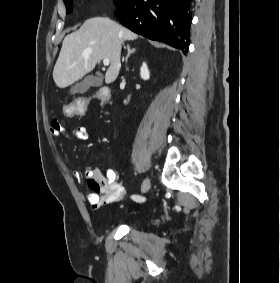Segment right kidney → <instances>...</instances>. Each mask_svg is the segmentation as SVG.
I'll list each match as a JSON object with an SVG mask.
<instances>
[{
    "label": "right kidney",
    "mask_w": 280,
    "mask_h": 283,
    "mask_svg": "<svg viewBox=\"0 0 280 283\" xmlns=\"http://www.w3.org/2000/svg\"><path fill=\"white\" fill-rule=\"evenodd\" d=\"M140 76L143 80H148L150 77L149 69L146 65V63H143L140 69Z\"/></svg>",
    "instance_id": "1"
}]
</instances>
